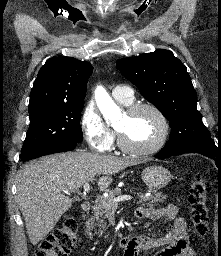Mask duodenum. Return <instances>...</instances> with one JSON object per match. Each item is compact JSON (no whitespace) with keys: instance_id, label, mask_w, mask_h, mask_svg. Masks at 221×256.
Returning a JSON list of instances; mask_svg holds the SVG:
<instances>
[{"instance_id":"1","label":"duodenum","mask_w":221,"mask_h":256,"mask_svg":"<svg viewBox=\"0 0 221 256\" xmlns=\"http://www.w3.org/2000/svg\"><path fill=\"white\" fill-rule=\"evenodd\" d=\"M91 207H92V204L89 201H85L81 204V210L84 213L89 212L91 210ZM130 241H131V237H129V236L122 238L119 242V247L125 248L129 244Z\"/></svg>"}]
</instances>
